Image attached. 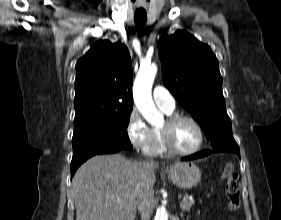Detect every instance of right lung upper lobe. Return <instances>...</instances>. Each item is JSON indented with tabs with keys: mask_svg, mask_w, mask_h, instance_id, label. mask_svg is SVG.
<instances>
[{
	"mask_svg": "<svg viewBox=\"0 0 281 220\" xmlns=\"http://www.w3.org/2000/svg\"><path fill=\"white\" fill-rule=\"evenodd\" d=\"M75 118L132 111V69L127 47L99 41L76 63Z\"/></svg>",
	"mask_w": 281,
	"mask_h": 220,
	"instance_id": "right-lung-upper-lobe-1",
	"label": "right lung upper lobe"
}]
</instances>
